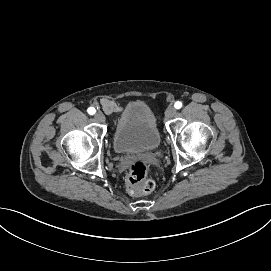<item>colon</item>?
<instances>
[{"instance_id":"colon-1","label":"colon","mask_w":271,"mask_h":271,"mask_svg":"<svg viewBox=\"0 0 271 271\" xmlns=\"http://www.w3.org/2000/svg\"><path fill=\"white\" fill-rule=\"evenodd\" d=\"M150 167L142 160H137L129 166L126 187L130 194L141 196L153 191L154 181L149 177Z\"/></svg>"}]
</instances>
